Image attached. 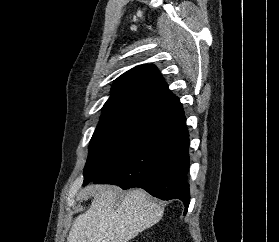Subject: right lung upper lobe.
<instances>
[{"mask_svg":"<svg viewBox=\"0 0 279 242\" xmlns=\"http://www.w3.org/2000/svg\"><path fill=\"white\" fill-rule=\"evenodd\" d=\"M103 114L140 112L162 116L181 107L154 65L143 64L121 75L113 84Z\"/></svg>","mask_w":279,"mask_h":242,"instance_id":"cb5924a9","label":"right lung upper lobe"}]
</instances>
